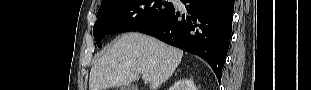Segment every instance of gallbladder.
Here are the masks:
<instances>
[{
  "label": "gallbladder",
  "instance_id": "obj_1",
  "mask_svg": "<svg viewBox=\"0 0 311 90\" xmlns=\"http://www.w3.org/2000/svg\"><path fill=\"white\" fill-rule=\"evenodd\" d=\"M137 87L134 84H128L121 86V90H136Z\"/></svg>",
  "mask_w": 311,
  "mask_h": 90
}]
</instances>
